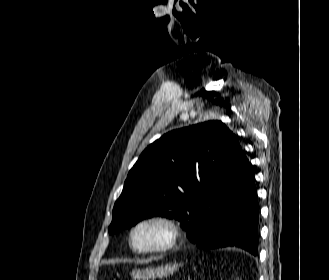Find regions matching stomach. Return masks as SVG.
I'll return each mask as SVG.
<instances>
[{
    "label": "stomach",
    "instance_id": "stomach-1",
    "mask_svg": "<svg viewBox=\"0 0 329 280\" xmlns=\"http://www.w3.org/2000/svg\"><path fill=\"white\" fill-rule=\"evenodd\" d=\"M179 268V265L174 264H166L162 265L156 269L154 268H146V269H136L133 270L131 275L134 280H149V279H155V278H163L167 277L169 275H172L174 272H176Z\"/></svg>",
    "mask_w": 329,
    "mask_h": 280
}]
</instances>
